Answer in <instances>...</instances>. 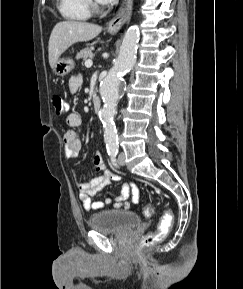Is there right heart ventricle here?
Listing matches in <instances>:
<instances>
[{
	"instance_id": "right-heart-ventricle-1",
	"label": "right heart ventricle",
	"mask_w": 243,
	"mask_h": 289,
	"mask_svg": "<svg viewBox=\"0 0 243 289\" xmlns=\"http://www.w3.org/2000/svg\"><path fill=\"white\" fill-rule=\"evenodd\" d=\"M57 8L68 20L85 21L91 16L87 0H58Z\"/></svg>"
}]
</instances>
